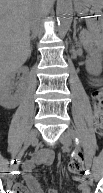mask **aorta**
I'll use <instances>...</instances> for the list:
<instances>
[{
  "mask_svg": "<svg viewBox=\"0 0 103 193\" xmlns=\"http://www.w3.org/2000/svg\"><path fill=\"white\" fill-rule=\"evenodd\" d=\"M73 5L72 0H57L56 16L60 36H64L72 23Z\"/></svg>",
  "mask_w": 103,
  "mask_h": 193,
  "instance_id": "762f6f07",
  "label": "aorta"
}]
</instances>
